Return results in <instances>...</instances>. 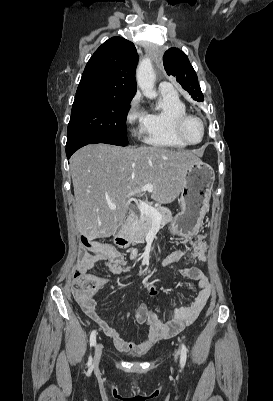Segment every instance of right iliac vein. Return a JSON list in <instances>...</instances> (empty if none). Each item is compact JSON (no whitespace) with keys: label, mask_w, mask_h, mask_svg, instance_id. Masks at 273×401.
Listing matches in <instances>:
<instances>
[{"label":"right iliac vein","mask_w":273,"mask_h":401,"mask_svg":"<svg viewBox=\"0 0 273 401\" xmlns=\"http://www.w3.org/2000/svg\"><path fill=\"white\" fill-rule=\"evenodd\" d=\"M102 355V344L98 343L95 349L94 365H98Z\"/></svg>","instance_id":"63e3f726"}]
</instances>
